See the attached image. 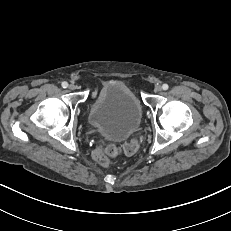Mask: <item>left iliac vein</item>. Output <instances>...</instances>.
<instances>
[{
  "instance_id": "4c4485c4",
  "label": "left iliac vein",
  "mask_w": 231,
  "mask_h": 231,
  "mask_svg": "<svg viewBox=\"0 0 231 231\" xmlns=\"http://www.w3.org/2000/svg\"><path fill=\"white\" fill-rule=\"evenodd\" d=\"M154 91L156 92V93H160L161 91H162V87L161 86H155V88H154Z\"/></svg>"
}]
</instances>
